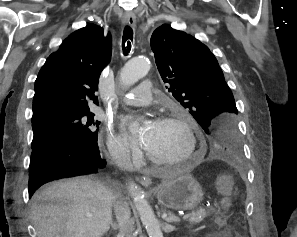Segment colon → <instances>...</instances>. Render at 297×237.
<instances>
[{
	"label": "colon",
	"instance_id": "5ec220e1",
	"mask_svg": "<svg viewBox=\"0 0 297 237\" xmlns=\"http://www.w3.org/2000/svg\"><path fill=\"white\" fill-rule=\"evenodd\" d=\"M217 222H218L219 225H224L225 220H224L223 218H219V219L217 220ZM240 237H243V236H240Z\"/></svg>",
	"mask_w": 297,
	"mask_h": 237
}]
</instances>
